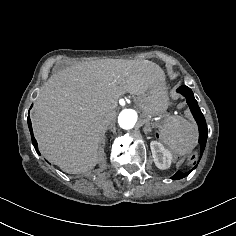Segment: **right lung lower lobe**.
Masks as SVG:
<instances>
[{
	"instance_id": "98d812e1",
	"label": "right lung lower lobe",
	"mask_w": 236,
	"mask_h": 236,
	"mask_svg": "<svg viewBox=\"0 0 236 236\" xmlns=\"http://www.w3.org/2000/svg\"><path fill=\"white\" fill-rule=\"evenodd\" d=\"M28 126H29V130H30V133H31V138H32V143H33V145H34V148H35V150L37 151V153L40 154L39 151H38L37 142H36V140H35V138H34V136H33V130H32L31 120H30V117H29V116H28Z\"/></svg>"
}]
</instances>
